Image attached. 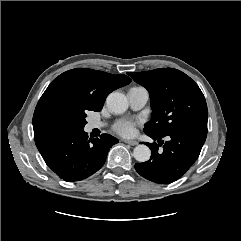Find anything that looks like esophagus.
Instances as JSON below:
<instances>
[{
  "instance_id": "34e87169",
  "label": "esophagus",
  "mask_w": 241,
  "mask_h": 241,
  "mask_svg": "<svg viewBox=\"0 0 241 241\" xmlns=\"http://www.w3.org/2000/svg\"><path fill=\"white\" fill-rule=\"evenodd\" d=\"M124 142L127 143V144H129V145H131V146H135V145L138 144V142L135 141V140H125Z\"/></svg>"
}]
</instances>
